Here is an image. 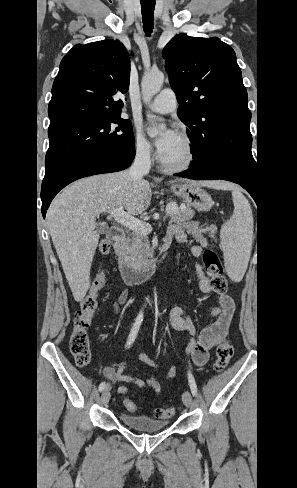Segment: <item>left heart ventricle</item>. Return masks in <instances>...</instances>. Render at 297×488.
I'll list each match as a JSON object with an SVG mask.
<instances>
[{
    "label": "left heart ventricle",
    "instance_id": "obj_1",
    "mask_svg": "<svg viewBox=\"0 0 297 488\" xmlns=\"http://www.w3.org/2000/svg\"><path fill=\"white\" fill-rule=\"evenodd\" d=\"M187 156V147L184 141L178 136L160 157L168 164L177 165L183 163L187 159Z\"/></svg>",
    "mask_w": 297,
    "mask_h": 488
}]
</instances>
